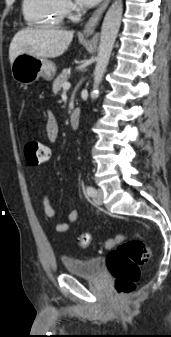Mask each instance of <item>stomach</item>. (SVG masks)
Here are the masks:
<instances>
[{
  "label": "stomach",
  "mask_w": 171,
  "mask_h": 337,
  "mask_svg": "<svg viewBox=\"0 0 171 337\" xmlns=\"http://www.w3.org/2000/svg\"><path fill=\"white\" fill-rule=\"evenodd\" d=\"M11 71L17 82L27 85L40 77L47 81L52 80L56 74V66L47 59L22 53L11 64Z\"/></svg>",
  "instance_id": "obj_1"
}]
</instances>
